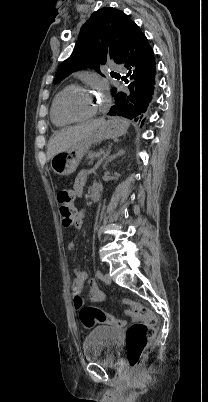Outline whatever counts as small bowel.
I'll return each mask as SVG.
<instances>
[{
	"mask_svg": "<svg viewBox=\"0 0 208 402\" xmlns=\"http://www.w3.org/2000/svg\"><path fill=\"white\" fill-rule=\"evenodd\" d=\"M87 181V173L85 171H82L78 174V176L75 179L74 183V191L76 195L81 196L83 193V189L85 187ZM80 220L82 213H78ZM74 227L75 228H80L81 227V222L80 221H75L74 222ZM67 249L69 251H74L75 249V244L73 241H69L67 244ZM72 274H73V280H72V293H73V303L75 307L79 308L81 307L85 300L81 297V291L84 287V283L86 281V275L84 272L80 270L78 267H73L72 268ZM89 289H90V299L93 302H102L105 300V293L103 290L100 288L98 282L94 279L89 281Z\"/></svg>",
	"mask_w": 208,
	"mask_h": 402,
	"instance_id": "obj_1",
	"label": "small bowel"
}]
</instances>
